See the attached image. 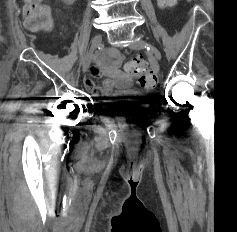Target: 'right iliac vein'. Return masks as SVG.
Segmentation results:
<instances>
[{
    "label": "right iliac vein",
    "instance_id": "1",
    "mask_svg": "<svg viewBox=\"0 0 237 232\" xmlns=\"http://www.w3.org/2000/svg\"><path fill=\"white\" fill-rule=\"evenodd\" d=\"M101 42H102V36L100 34L95 35L92 40L90 50L83 61V65H82L83 72H86L88 70L92 61L93 52L101 44Z\"/></svg>",
    "mask_w": 237,
    "mask_h": 232
}]
</instances>
